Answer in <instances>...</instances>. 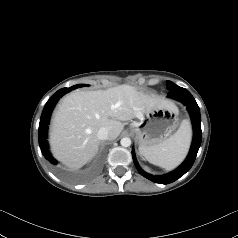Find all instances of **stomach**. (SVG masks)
Returning <instances> with one entry per match:
<instances>
[{"mask_svg":"<svg viewBox=\"0 0 238 238\" xmlns=\"http://www.w3.org/2000/svg\"><path fill=\"white\" fill-rule=\"evenodd\" d=\"M178 114L175 105H168L151 109L133 121L131 131L136 136L140 151L168 139L179 125Z\"/></svg>","mask_w":238,"mask_h":238,"instance_id":"1","label":"stomach"}]
</instances>
